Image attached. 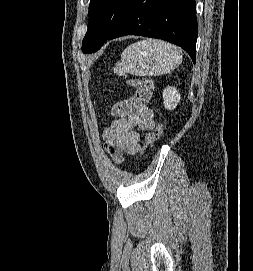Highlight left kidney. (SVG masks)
I'll list each match as a JSON object with an SVG mask.
<instances>
[{"label":"left kidney","instance_id":"1","mask_svg":"<svg viewBox=\"0 0 253 271\" xmlns=\"http://www.w3.org/2000/svg\"><path fill=\"white\" fill-rule=\"evenodd\" d=\"M163 104L167 110L176 108L181 100V95L175 87L168 86L163 90Z\"/></svg>","mask_w":253,"mask_h":271}]
</instances>
